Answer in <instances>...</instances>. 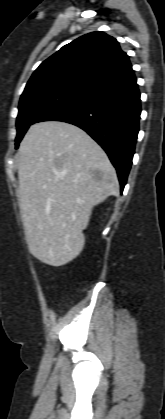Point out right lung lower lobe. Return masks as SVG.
Here are the masks:
<instances>
[{
	"mask_svg": "<svg viewBox=\"0 0 165 419\" xmlns=\"http://www.w3.org/2000/svg\"><path fill=\"white\" fill-rule=\"evenodd\" d=\"M141 113L134 71L46 113L38 122L63 121L85 130L106 151L121 192L132 165Z\"/></svg>",
	"mask_w": 165,
	"mask_h": 419,
	"instance_id": "1",
	"label": "right lung lower lobe"
}]
</instances>
